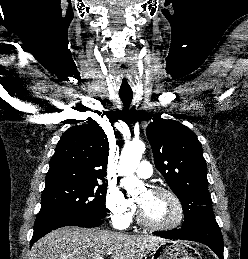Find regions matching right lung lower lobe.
<instances>
[{"label":"right lung lower lobe","instance_id":"obj_1","mask_svg":"<svg viewBox=\"0 0 248 259\" xmlns=\"http://www.w3.org/2000/svg\"><path fill=\"white\" fill-rule=\"evenodd\" d=\"M102 222V219L87 220L78 215L63 212H39L35 221L34 233L30 245L32 246L38 239L60 227L79 226L91 228L100 226Z\"/></svg>","mask_w":248,"mask_h":259}]
</instances>
